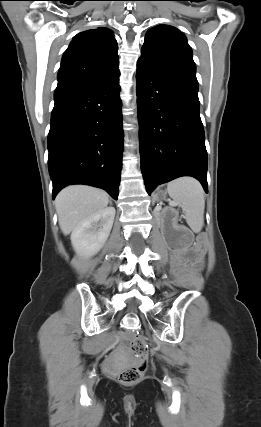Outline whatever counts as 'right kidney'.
<instances>
[{
	"instance_id": "ca27d5eb",
	"label": "right kidney",
	"mask_w": 261,
	"mask_h": 427,
	"mask_svg": "<svg viewBox=\"0 0 261 427\" xmlns=\"http://www.w3.org/2000/svg\"><path fill=\"white\" fill-rule=\"evenodd\" d=\"M115 212L114 207H107L72 231L71 243L77 254L91 257L101 250L112 229Z\"/></svg>"
}]
</instances>
